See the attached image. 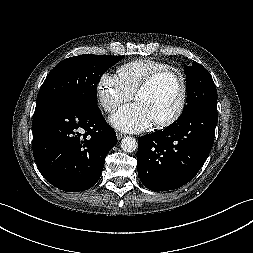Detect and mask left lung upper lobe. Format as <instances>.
I'll return each mask as SVG.
<instances>
[{
	"instance_id": "left-lung-upper-lobe-1",
	"label": "left lung upper lobe",
	"mask_w": 253,
	"mask_h": 253,
	"mask_svg": "<svg viewBox=\"0 0 253 253\" xmlns=\"http://www.w3.org/2000/svg\"><path fill=\"white\" fill-rule=\"evenodd\" d=\"M184 72L186 74L187 104L177 121L201 107L217 109V90L209 72L195 61L191 66L185 65Z\"/></svg>"
}]
</instances>
